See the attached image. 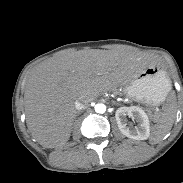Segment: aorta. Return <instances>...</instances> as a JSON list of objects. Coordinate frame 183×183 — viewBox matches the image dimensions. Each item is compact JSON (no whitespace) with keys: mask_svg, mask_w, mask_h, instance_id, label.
<instances>
[{"mask_svg":"<svg viewBox=\"0 0 183 183\" xmlns=\"http://www.w3.org/2000/svg\"><path fill=\"white\" fill-rule=\"evenodd\" d=\"M95 111L96 113L103 114L106 111V106L102 103H98L95 105Z\"/></svg>","mask_w":183,"mask_h":183,"instance_id":"1","label":"aorta"}]
</instances>
